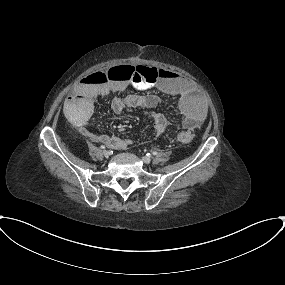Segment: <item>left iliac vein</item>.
<instances>
[{"label":"left iliac vein","mask_w":285,"mask_h":285,"mask_svg":"<svg viewBox=\"0 0 285 285\" xmlns=\"http://www.w3.org/2000/svg\"><path fill=\"white\" fill-rule=\"evenodd\" d=\"M142 161L146 164H149L151 162V159L147 156L142 157Z\"/></svg>","instance_id":"1"}]
</instances>
